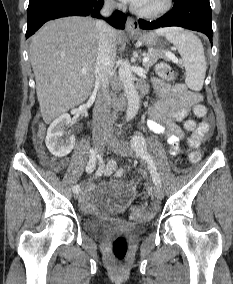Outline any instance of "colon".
<instances>
[{
	"instance_id": "obj_1",
	"label": "colon",
	"mask_w": 233,
	"mask_h": 284,
	"mask_svg": "<svg viewBox=\"0 0 233 284\" xmlns=\"http://www.w3.org/2000/svg\"><path fill=\"white\" fill-rule=\"evenodd\" d=\"M156 71L158 75L164 80H172L174 78V71L170 65L166 63H159L156 66ZM194 114L197 117H205L207 110L202 104H197L194 106ZM196 127V123L193 120H188L185 123V129L187 131H192ZM201 158V152L198 149L192 148L189 152V159L192 162H197ZM103 174L105 176H114L116 178H123L125 173L122 169L117 168V165L114 161H109L103 168ZM150 211L148 208L140 206L134 209L133 215L136 219H144L148 217ZM128 250V242L125 237L119 236L112 243V253L116 260L122 261Z\"/></svg>"
}]
</instances>
